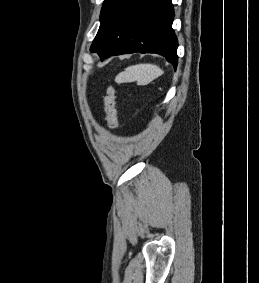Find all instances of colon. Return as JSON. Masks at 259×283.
I'll list each match as a JSON object with an SVG mask.
<instances>
[{"instance_id": "1", "label": "colon", "mask_w": 259, "mask_h": 283, "mask_svg": "<svg viewBox=\"0 0 259 283\" xmlns=\"http://www.w3.org/2000/svg\"><path fill=\"white\" fill-rule=\"evenodd\" d=\"M104 104L107 127L113 129L117 125V93L113 86L106 88Z\"/></svg>"}]
</instances>
